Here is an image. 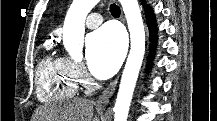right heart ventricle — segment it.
Here are the masks:
<instances>
[{"mask_svg":"<svg viewBox=\"0 0 217 121\" xmlns=\"http://www.w3.org/2000/svg\"><path fill=\"white\" fill-rule=\"evenodd\" d=\"M36 93L44 103L59 102L75 95L78 79L70 60L49 55L37 67Z\"/></svg>","mask_w":217,"mask_h":121,"instance_id":"obj_1","label":"right heart ventricle"}]
</instances>
